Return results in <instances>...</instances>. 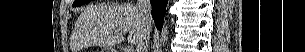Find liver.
<instances>
[{
  "instance_id": "6515ba94",
  "label": "liver",
  "mask_w": 305,
  "mask_h": 52,
  "mask_svg": "<svg viewBox=\"0 0 305 52\" xmlns=\"http://www.w3.org/2000/svg\"><path fill=\"white\" fill-rule=\"evenodd\" d=\"M77 27L85 40L107 48L121 43L126 32H129L128 42L138 44L145 32L139 12L133 5L91 6L81 13Z\"/></svg>"
}]
</instances>
